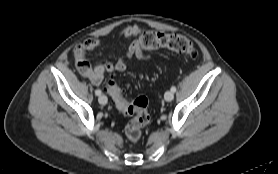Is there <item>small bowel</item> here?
Instances as JSON below:
<instances>
[{
	"label": "small bowel",
	"mask_w": 278,
	"mask_h": 174,
	"mask_svg": "<svg viewBox=\"0 0 278 174\" xmlns=\"http://www.w3.org/2000/svg\"><path fill=\"white\" fill-rule=\"evenodd\" d=\"M141 33V28L137 25H128L121 30V35L125 39H134ZM99 38H89L83 44L77 46L74 50V58L79 73L90 82L99 86L104 78V74L113 72H123L127 68V60L136 56L140 60H148L150 55L145 53L139 40H132L128 46L124 57L118 59L116 62H107L105 64H95L91 66L85 59L87 51L94 50L100 45Z\"/></svg>",
	"instance_id": "small-bowel-1"
}]
</instances>
